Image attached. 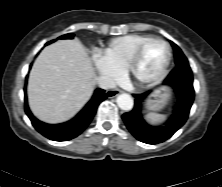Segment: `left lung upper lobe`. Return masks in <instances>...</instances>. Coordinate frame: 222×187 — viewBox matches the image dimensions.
Listing matches in <instances>:
<instances>
[{
  "label": "left lung upper lobe",
  "mask_w": 222,
  "mask_h": 187,
  "mask_svg": "<svg viewBox=\"0 0 222 187\" xmlns=\"http://www.w3.org/2000/svg\"><path fill=\"white\" fill-rule=\"evenodd\" d=\"M171 45L174 49V55H175V64L180 65V64H188V60L181 51V49L173 42H171Z\"/></svg>",
  "instance_id": "1"
}]
</instances>
